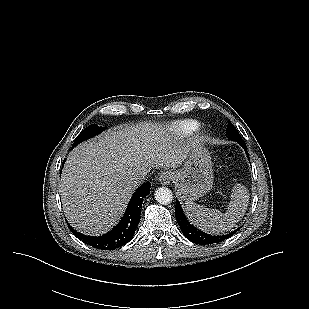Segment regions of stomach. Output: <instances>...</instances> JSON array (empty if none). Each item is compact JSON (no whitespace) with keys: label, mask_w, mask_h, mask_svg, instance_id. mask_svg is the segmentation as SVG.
I'll return each mask as SVG.
<instances>
[{"label":"stomach","mask_w":309,"mask_h":309,"mask_svg":"<svg viewBox=\"0 0 309 309\" xmlns=\"http://www.w3.org/2000/svg\"><path fill=\"white\" fill-rule=\"evenodd\" d=\"M213 178L208 149L200 141L192 142L187 161L174 173L178 195L186 202L195 201L211 190Z\"/></svg>","instance_id":"1"}]
</instances>
